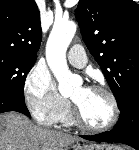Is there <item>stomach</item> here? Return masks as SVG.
Masks as SVG:
<instances>
[{
  "label": "stomach",
  "mask_w": 139,
  "mask_h": 150,
  "mask_svg": "<svg viewBox=\"0 0 139 150\" xmlns=\"http://www.w3.org/2000/svg\"><path fill=\"white\" fill-rule=\"evenodd\" d=\"M75 150H122V149L113 145H89V146H77Z\"/></svg>",
  "instance_id": "0dacf381"
}]
</instances>
